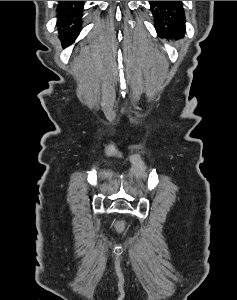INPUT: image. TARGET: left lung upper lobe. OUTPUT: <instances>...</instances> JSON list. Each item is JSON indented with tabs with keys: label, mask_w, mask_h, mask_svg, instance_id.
Returning a JSON list of instances; mask_svg holds the SVG:
<instances>
[{
	"label": "left lung upper lobe",
	"mask_w": 237,
	"mask_h": 300,
	"mask_svg": "<svg viewBox=\"0 0 237 300\" xmlns=\"http://www.w3.org/2000/svg\"><path fill=\"white\" fill-rule=\"evenodd\" d=\"M151 11L159 35H177L185 28V15L182 1H154ZM181 33V32H180Z\"/></svg>",
	"instance_id": "1"
}]
</instances>
